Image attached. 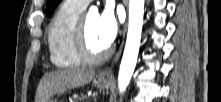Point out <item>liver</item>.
I'll list each match as a JSON object with an SVG mask.
<instances>
[{
    "instance_id": "obj_1",
    "label": "liver",
    "mask_w": 221,
    "mask_h": 102,
    "mask_svg": "<svg viewBox=\"0 0 221 102\" xmlns=\"http://www.w3.org/2000/svg\"><path fill=\"white\" fill-rule=\"evenodd\" d=\"M95 75V71L79 68L47 73L40 80L35 102H46L55 94L62 93L67 89L84 86L90 83Z\"/></svg>"
}]
</instances>
